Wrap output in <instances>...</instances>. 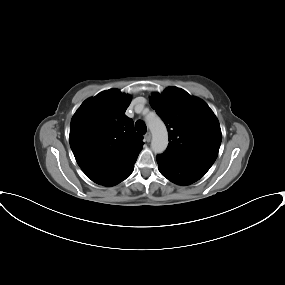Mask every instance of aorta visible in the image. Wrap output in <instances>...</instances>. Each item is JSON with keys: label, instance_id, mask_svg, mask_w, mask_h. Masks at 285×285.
<instances>
[{"label": "aorta", "instance_id": "1", "mask_svg": "<svg viewBox=\"0 0 285 285\" xmlns=\"http://www.w3.org/2000/svg\"><path fill=\"white\" fill-rule=\"evenodd\" d=\"M147 123L152 133V151L155 154L163 153L168 146V132L164 122L156 116L152 119H149Z\"/></svg>", "mask_w": 285, "mask_h": 285}]
</instances>
